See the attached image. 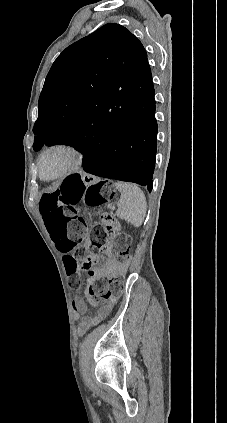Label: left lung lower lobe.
I'll return each mask as SVG.
<instances>
[{"label": "left lung lower lobe", "mask_w": 227, "mask_h": 423, "mask_svg": "<svg viewBox=\"0 0 227 423\" xmlns=\"http://www.w3.org/2000/svg\"><path fill=\"white\" fill-rule=\"evenodd\" d=\"M157 141L154 88L139 113L111 111L95 132L76 137L71 145L83 153V166L96 176L134 182L152 190Z\"/></svg>", "instance_id": "0a47b994"}]
</instances>
